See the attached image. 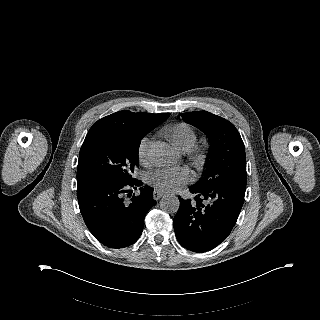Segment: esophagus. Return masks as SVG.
Wrapping results in <instances>:
<instances>
[{"mask_svg":"<svg viewBox=\"0 0 320 320\" xmlns=\"http://www.w3.org/2000/svg\"><path fill=\"white\" fill-rule=\"evenodd\" d=\"M164 194H165V192L163 190L155 189L153 192V197L155 200H159Z\"/></svg>","mask_w":320,"mask_h":320,"instance_id":"34e87169","label":"esophagus"}]
</instances>
